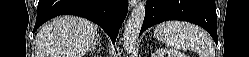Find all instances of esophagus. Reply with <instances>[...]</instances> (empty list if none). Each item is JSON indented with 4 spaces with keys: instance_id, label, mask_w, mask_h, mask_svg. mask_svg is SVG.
Wrapping results in <instances>:
<instances>
[{
    "instance_id": "1",
    "label": "esophagus",
    "mask_w": 249,
    "mask_h": 57,
    "mask_svg": "<svg viewBox=\"0 0 249 57\" xmlns=\"http://www.w3.org/2000/svg\"><path fill=\"white\" fill-rule=\"evenodd\" d=\"M128 2H129V7L132 8L134 5H136L139 2V0H129Z\"/></svg>"
}]
</instances>
